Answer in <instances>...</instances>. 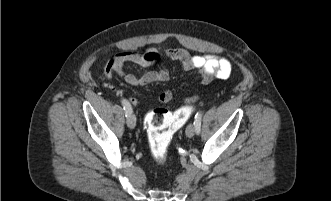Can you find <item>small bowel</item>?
Instances as JSON below:
<instances>
[{
	"mask_svg": "<svg viewBox=\"0 0 331 201\" xmlns=\"http://www.w3.org/2000/svg\"><path fill=\"white\" fill-rule=\"evenodd\" d=\"M168 59L177 61L186 71H194L202 77L204 83H209L213 79H226L230 76L232 67L228 59L214 54L191 55L184 49H171L166 52ZM160 59L158 51L150 49L144 52L125 51L117 54L110 60L105 68L107 77L112 74L123 76L125 81L132 86H143L152 83L164 82L169 78V71L166 67L158 71H151L136 76L132 73H125L123 68L127 63H133L142 67L153 65ZM171 99V94L164 91L159 96L160 102H167ZM133 104H137V99L131 98Z\"/></svg>",
	"mask_w": 331,
	"mask_h": 201,
	"instance_id": "small-bowel-1",
	"label": "small bowel"
}]
</instances>
